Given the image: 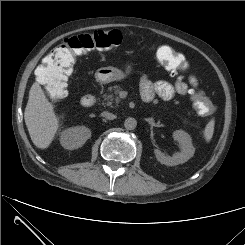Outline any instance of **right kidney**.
Returning a JSON list of instances; mask_svg holds the SVG:
<instances>
[{"label": "right kidney", "mask_w": 245, "mask_h": 245, "mask_svg": "<svg viewBox=\"0 0 245 245\" xmlns=\"http://www.w3.org/2000/svg\"><path fill=\"white\" fill-rule=\"evenodd\" d=\"M90 137V129L85 126H76L61 133L60 143L65 149L74 150L82 147Z\"/></svg>", "instance_id": "obj_1"}]
</instances>
